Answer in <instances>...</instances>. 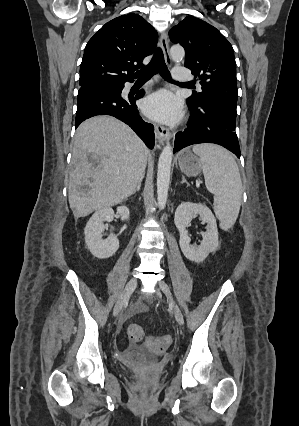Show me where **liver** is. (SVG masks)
Returning a JSON list of instances; mask_svg holds the SVG:
<instances>
[{
    "mask_svg": "<svg viewBox=\"0 0 299 426\" xmlns=\"http://www.w3.org/2000/svg\"><path fill=\"white\" fill-rule=\"evenodd\" d=\"M148 149L123 122L84 121L73 138L68 199L75 218L114 206L133 194L145 174Z\"/></svg>",
    "mask_w": 299,
    "mask_h": 426,
    "instance_id": "1",
    "label": "liver"
}]
</instances>
